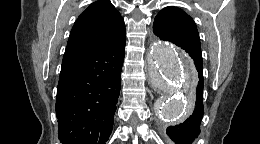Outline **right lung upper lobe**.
<instances>
[{
    "label": "right lung upper lobe",
    "mask_w": 260,
    "mask_h": 144,
    "mask_svg": "<svg viewBox=\"0 0 260 144\" xmlns=\"http://www.w3.org/2000/svg\"><path fill=\"white\" fill-rule=\"evenodd\" d=\"M126 40L125 24L109 0L92 3L76 20L64 56Z\"/></svg>",
    "instance_id": "obj_1"
}]
</instances>
